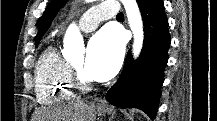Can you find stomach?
I'll return each instance as SVG.
<instances>
[{
	"label": "stomach",
	"instance_id": "1",
	"mask_svg": "<svg viewBox=\"0 0 217 121\" xmlns=\"http://www.w3.org/2000/svg\"><path fill=\"white\" fill-rule=\"evenodd\" d=\"M109 108L108 107H97V112L99 115H106L107 113H109Z\"/></svg>",
	"mask_w": 217,
	"mask_h": 121
}]
</instances>
